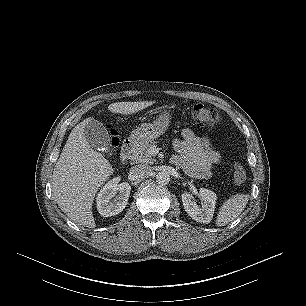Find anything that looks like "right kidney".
<instances>
[{
    "instance_id": "right-kidney-1",
    "label": "right kidney",
    "mask_w": 306,
    "mask_h": 306,
    "mask_svg": "<svg viewBox=\"0 0 306 306\" xmlns=\"http://www.w3.org/2000/svg\"><path fill=\"white\" fill-rule=\"evenodd\" d=\"M119 181L120 177L108 181L97 195V210L103 217L119 214L128 203L131 186Z\"/></svg>"
}]
</instances>
